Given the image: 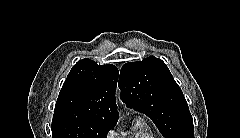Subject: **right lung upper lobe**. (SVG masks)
<instances>
[{"instance_id": "cb5924a9", "label": "right lung upper lobe", "mask_w": 240, "mask_h": 138, "mask_svg": "<svg viewBox=\"0 0 240 138\" xmlns=\"http://www.w3.org/2000/svg\"><path fill=\"white\" fill-rule=\"evenodd\" d=\"M118 75L114 65H97L88 58L78 61L59 93L53 118L70 117L115 125Z\"/></svg>"}]
</instances>
